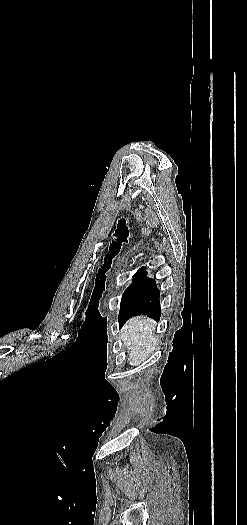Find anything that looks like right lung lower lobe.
Listing matches in <instances>:
<instances>
[{
	"mask_svg": "<svg viewBox=\"0 0 247 525\" xmlns=\"http://www.w3.org/2000/svg\"><path fill=\"white\" fill-rule=\"evenodd\" d=\"M159 297L160 291L156 287L155 280L145 276L126 300L119 315V327H122L130 317L137 314H145L154 319H159L161 316Z\"/></svg>",
	"mask_w": 247,
	"mask_h": 525,
	"instance_id": "1",
	"label": "right lung lower lobe"
}]
</instances>
